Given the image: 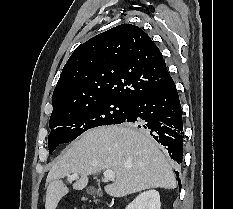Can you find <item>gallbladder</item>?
Listing matches in <instances>:
<instances>
[{"mask_svg": "<svg viewBox=\"0 0 233 209\" xmlns=\"http://www.w3.org/2000/svg\"><path fill=\"white\" fill-rule=\"evenodd\" d=\"M87 192L89 193V194H92V195H94V194H96V189H94L93 187H90V188H88L87 189Z\"/></svg>", "mask_w": 233, "mask_h": 209, "instance_id": "1", "label": "gallbladder"}]
</instances>
